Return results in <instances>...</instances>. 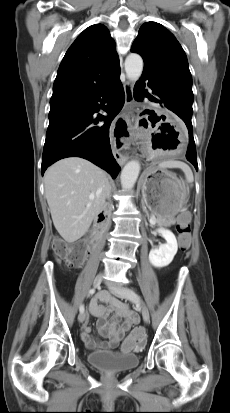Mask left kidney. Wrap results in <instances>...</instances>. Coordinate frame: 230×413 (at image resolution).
<instances>
[{
  "label": "left kidney",
  "instance_id": "obj_1",
  "mask_svg": "<svg viewBox=\"0 0 230 413\" xmlns=\"http://www.w3.org/2000/svg\"><path fill=\"white\" fill-rule=\"evenodd\" d=\"M156 232L166 240V244L159 248H154L149 253V261L156 268L168 266L178 250V244L175 235L168 229L159 228Z\"/></svg>",
  "mask_w": 230,
  "mask_h": 413
}]
</instances>
